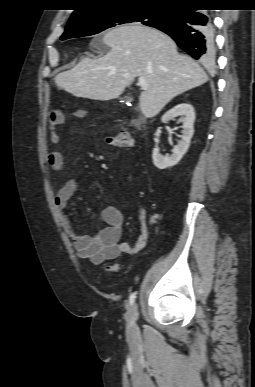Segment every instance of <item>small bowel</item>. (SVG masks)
Wrapping results in <instances>:
<instances>
[{
    "mask_svg": "<svg viewBox=\"0 0 255 387\" xmlns=\"http://www.w3.org/2000/svg\"><path fill=\"white\" fill-rule=\"evenodd\" d=\"M51 122V141L56 145L59 143L60 138L55 131V127L63 122V115L60 112L53 113ZM49 164L56 170L61 169V153L58 151L51 152ZM78 189L79 184L75 178L67 180L58 189L54 203L59 212L62 226L72 240L80 258L88 259L94 264H100L106 260L115 259L121 254L138 253L144 248L148 239L146 230L141 231L133 244L121 241L124 215L120 209L113 206L103 208L100 213L101 219L106 224L105 227L91 235L81 232L67 212L69 202Z\"/></svg>",
    "mask_w": 255,
    "mask_h": 387,
    "instance_id": "1",
    "label": "small bowel"
}]
</instances>
